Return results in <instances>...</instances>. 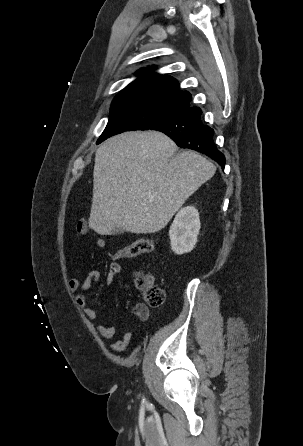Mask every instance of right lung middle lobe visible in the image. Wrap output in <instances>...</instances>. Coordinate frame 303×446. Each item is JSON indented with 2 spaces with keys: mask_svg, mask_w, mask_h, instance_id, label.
Returning <instances> with one entry per match:
<instances>
[{
  "mask_svg": "<svg viewBox=\"0 0 303 446\" xmlns=\"http://www.w3.org/2000/svg\"><path fill=\"white\" fill-rule=\"evenodd\" d=\"M187 106L188 100L181 98L172 100L163 110L112 105L108 124L99 137L97 144L115 134L141 129L151 121Z\"/></svg>",
  "mask_w": 303,
  "mask_h": 446,
  "instance_id": "dd1d6c3e",
  "label": "right lung middle lobe"
}]
</instances>
